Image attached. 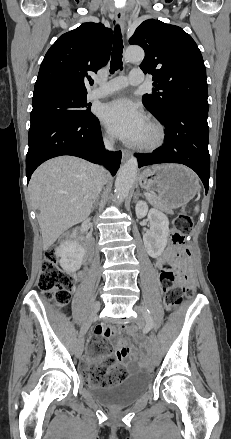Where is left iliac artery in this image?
<instances>
[{
    "mask_svg": "<svg viewBox=\"0 0 231 439\" xmlns=\"http://www.w3.org/2000/svg\"><path fill=\"white\" fill-rule=\"evenodd\" d=\"M148 312H147V326L149 327V328H152L153 327V322H152V318L150 317V315H149V310H147Z\"/></svg>",
    "mask_w": 231,
    "mask_h": 439,
    "instance_id": "obj_1",
    "label": "left iliac artery"
}]
</instances>
